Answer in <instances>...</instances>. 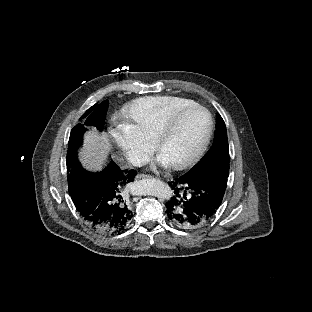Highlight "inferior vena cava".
<instances>
[{
  "label": "inferior vena cava",
  "mask_w": 312,
  "mask_h": 312,
  "mask_svg": "<svg viewBox=\"0 0 312 312\" xmlns=\"http://www.w3.org/2000/svg\"><path fill=\"white\" fill-rule=\"evenodd\" d=\"M128 161L133 166L142 167L148 163V158L141 152H133Z\"/></svg>",
  "instance_id": "obj_1"
}]
</instances>
